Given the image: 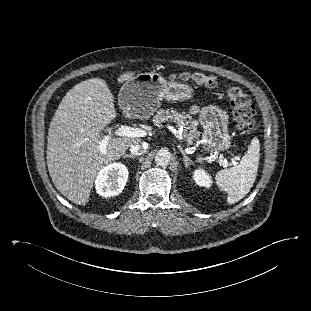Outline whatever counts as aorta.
Instances as JSON below:
<instances>
[{
	"label": "aorta",
	"instance_id": "aorta-1",
	"mask_svg": "<svg viewBox=\"0 0 311 311\" xmlns=\"http://www.w3.org/2000/svg\"><path fill=\"white\" fill-rule=\"evenodd\" d=\"M171 160V154L166 149H161L156 153L155 162L160 167H166Z\"/></svg>",
	"mask_w": 311,
	"mask_h": 311
}]
</instances>
